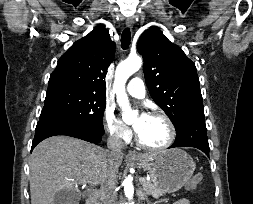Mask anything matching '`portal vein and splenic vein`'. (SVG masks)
<instances>
[{
    "label": "portal vein and splenic vein",
    "instance_id": "obj_1",
    "mask_svg": "<svg viewBox=\"0 0 253 204\" xmlns=\"http://www.w3.org/2000/svg\"><path fill=\"white\" fill-rule=\"evenodd\" d=\"M140 182L144 183L145 180L143 178L140 179ZM87 183H92V184H98V181H93V182H87Z\"/></svg>",
    "mask_w": 253,
    "mask_h": 204
}]
</instances>
